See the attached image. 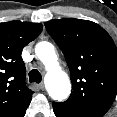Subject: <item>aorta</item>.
<instances>
[{"label":"aorta","mask_w":117,"mask_h":117,"mask_svg":"<svg viewBox=\"0 0 117 117\" xmlns=\"http://www.w3.org/2000/svg\"><path fill=\"white\" fill-rule=\"evenodd\" d=\"M35 53L47 69L46 88L51 98L55 101L68 98L71 93V83L68 75L59 68L54 46L50 42H39Z\"/></svg>","instance_id":"obj_1"}]
</instances>
